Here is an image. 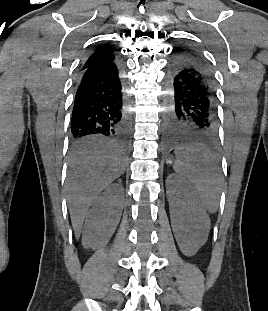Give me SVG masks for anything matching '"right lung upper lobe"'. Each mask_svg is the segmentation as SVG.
Wrapping results in <instances>:
<instances>
[{
  "mask_svg": "<svg viewBox=\"0 0 268 311\" xmlns=\"http://www.w3.org/2000/svg\"><path fill=\"white\" fill-rule=\"evenodd\" d=\"M116 51L117 48L113 45L103 44L89 56V58L84 63V67L90 68L94 66L109 65L118 60Z\"/></svg>",
  "mask_w": 268,
  "mask_h": 311,
  "instance_id": "cb5924a9",
  "label": "right lung upper lobe"
}]
</instances>
